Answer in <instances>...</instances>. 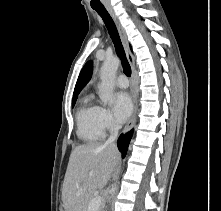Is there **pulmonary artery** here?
Instances as JSON below:
<instances>
[{
    "mask_svg": "<svg viewBox=\"0 0 221 211\" xmlns=\"http://www.w3.org/2000/svg\"><path fill=\"white\" fill-rule=\"evenodd\" d=\"M116 85H117L119 88H127L128 85H129V82H128L127 77L124 76V75L118 76L117 79H116Z\"/></svg>",
    "mask_w": 221,
    "mask_h": 211,
    "instance_id": "pulmonary-artery-1",
    "label": "pulmonary artery"
}]
</instances>
